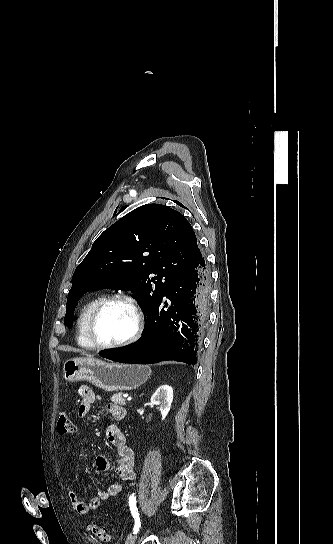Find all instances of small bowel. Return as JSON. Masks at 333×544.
<instances>
[{"label": "small bowel", "mask_w": 333, "mask_h": 544, "mask_svg": "<svg viewBox=\"0 0 333 544\" xmlns=\"http://www.w3.org/2000/svg\"><path fill=\"white\" fill-rule=\"evenodd\" d=\"M79 398L77 413L79 417L84 418L89 414L92 404L99 397L88 386H81L79 389ZM107 409L116 420H122L125 417V409L117 403H109ZM106 437L108 442L116 448L119 456L116 473L125 481H133L136 477L134 469L135 457L133 450L126 443L123 431L119 426L112 424L106 430ZM96 467L101 472H109L112 469L111 462L105 455H99L96 458ZM121 490L122 486L120 484H110L105 490L99 491L88 502L80 499L76 491L72 488L68 490V496L74 511L80 515H85L90 510L97 509L103 500H108L119 495Z\"/></svg>", "instance_id": "1"}]
</instances>
